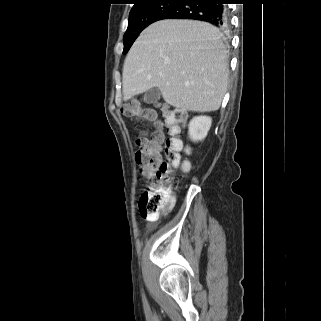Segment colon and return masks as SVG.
<instances>
[{"label": "colon", "instance_id": "1", "mask_svg": "<svg viewBox=\"0 0 321 321\" xmlns=\"http://www.w3.org/2000/svg\"><path fill=\"white\" fill-rule=\"evenodd\" d=\"M163 121H156V130L151 133L141 132L136 143L138 151L136 161L140 173L148 180L147 188L139 200V212L144 218H153L168 214L173 205V192L168 185V176L171 169L179 168L188 171L190 165L182 160L181 154L189 152L178 136L184 113L180 110L162 108ZM124 115L139 119L155 121V113L143 106L139 100H132L122 108ZM164 126L170 137L163 140L160 127ZM164 141V159L160 155L161 143Z\"/></svg>", "mask_w": 321, "mask_h": 321}]
</instances>
